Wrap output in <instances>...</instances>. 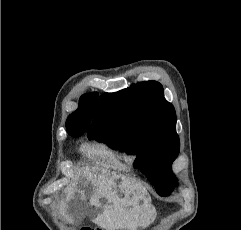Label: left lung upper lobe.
I'll list each match as a JSON object with an SVG mask.
<instances>
[{
  "mask_svg": "<svg viewBox=\"0 0 241 230\" xmlns=\"http://www.w3.org/2000/svg\"><path fill=\"white\" fill-rule=\"evenodd\" d=\"M87 135L112 149L136 153L135 166L157 192L165 196L172 191L175 183L169 174L179 154V136L175 109L159 82H139L101 95Z\"/></svg>",
  "mask_w": 241,
  "mask_h": 230,
  "instance_id": "1",
  "label": "left lung upper lobe"
}]
</instances>
